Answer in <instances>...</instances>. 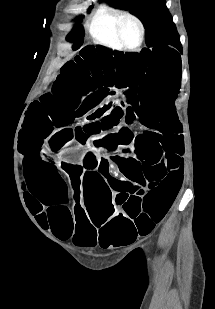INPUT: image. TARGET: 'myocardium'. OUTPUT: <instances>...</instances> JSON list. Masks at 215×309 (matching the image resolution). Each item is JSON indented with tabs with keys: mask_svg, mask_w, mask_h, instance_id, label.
Masks as SVG:
<instances>
[{
	"mask_svg": "<svg viewBox=\"0 0 215 309\" xmlns=\"http://www.w3.org/2000/svg\"><path fill=\"white\" fill-rule=\"evenodd\" d=\"M121 17L120 19H116V28L114 31H116V37L118 39V42L120 44L121 48H140V46L143 43L144 40V27L141 23V21L134 15L127 13V12H121ZM129 21L133 23L138 31V40L137 43L134 44L133 46H125L124 39L122 38L121 35V30H123V22Z\"/></svg>",
	"mask_w": 215,
	"mask_h": 309,
	"instance_id": "myocardium-1",
	"label": "myocardium"
}]
</instances>
